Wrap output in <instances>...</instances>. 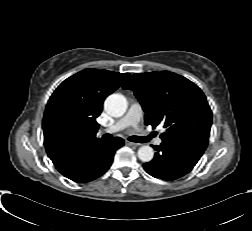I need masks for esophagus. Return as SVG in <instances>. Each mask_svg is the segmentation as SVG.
<instances>
[{"label": "esophagus", "instance_id": "esophagus-1", "mask_svg": "<svg viewBox=\"0 0 252 231\" xmlns=\"http://www.w3.org/2000/svg\"><path fill=\"white\" fill-rule=\"evenodd\" d=\"M126 145L132 146V147H137L139 144L138 143H134V142H130V141H126Z\"/></svg>", "mask_w": 252, "mask_h": 231}]
</instances>
